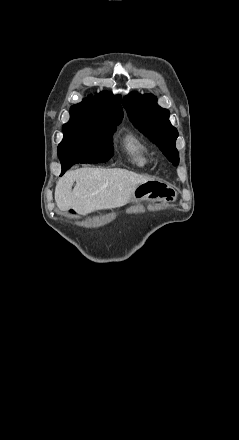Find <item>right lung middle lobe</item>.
Returning <instances> with one entry per match:
<instances>
[{
  "label": "right lung middle lobe",
  "instance_id": "obj_1",
  "mask_svg": "<svg viewBox=\"0 0 239 440\" xmlns=\"http://www.w3.org/2000/svg\"><path fill=\"white\" fill-rule=\"evenodd\" d=\"M118 124L70 116V120L62 127L64 137L58 146V152L70 147L86 146L113 149L112 134Z\"/></svg>",
  "mask_w": 239,
  "mask_h": 440
}]
</instances>
